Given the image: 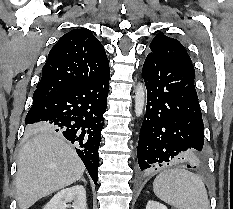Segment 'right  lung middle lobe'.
<instances>
[{
  "mask_svg": "<svg viewBox=\"0 0 233 209\" xmlns=\"http://www.w3.org/2000/svg\"><path fill=\"white\" fill-rule=\"evenodd\" d=\"M38 127H42V128L47 129V130H53V128H51L50 126H47V125H40Z\"/></svg>",
  "mask_w": 233,
  "mask_h": 209,
  "instance_id": "obj_1",
  "label": "right lung middle lobe"
}]
</instances>
